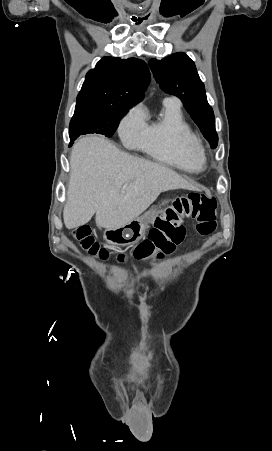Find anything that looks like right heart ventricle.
I'll return each instance as SVG.
<instances>
[{
  "mask_svg": "<svg viewBox=\"0 0 272 451\" xmlns=\"http://www.w3.org/2000/svg\"><path fill=\"white\" fill-rule=\"evenodd\" d=\"M196 139L184 121L180 107L164 103L161 117L149 124L136 145L153 159L170 165L184 174L196 172L185 155V143Z\"/></svg>",
  "mask_w": 272,
  "mask_h": 451,
  "instance_id": "right-heart-ventricle-1",
  "label": "right heart ventricle"
}]
</instances>
